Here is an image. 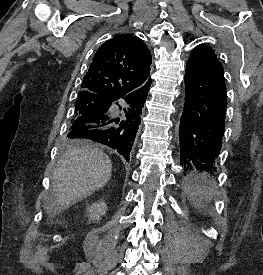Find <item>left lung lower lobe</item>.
<instances>
[{
  "label": "left lung lower lobe",
  "mask_w": 263,
  "mask_h": 275,
  "mask_svg": "<svg viewBox=\"0 0 263 275\" xmlns=\"http://www.w3.org/2000/svg\"><path fill=\"white\" fill-rule=\"evenodd\" d=\"M184 81L180 164L190 176L206 177L217 169L227 108L224 70L211 48L192 51Z\"/></svg>",
  "instance_id": "obj_1"
}]
</instances>
